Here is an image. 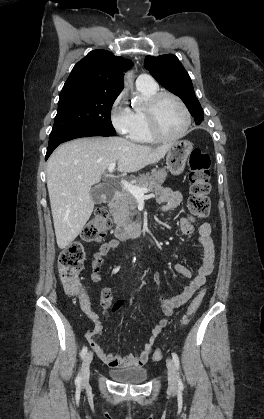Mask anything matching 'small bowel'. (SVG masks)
Segmentation results:
<instances>
[{"label":"small bowel","mask_w":264,"mask_h":419,"mask_svg":"<svg viewBox=\"0 0 264 419\" xmlns=\"http://www.w3.org/2000/svg\"><path fill=\"white\" fill-rule=\"evenodd\" d=\"M183 196L180 191L173 190L165 187L157 191L156 200L160 204V213H165L169 210L176 208L182 202ZM178 227L180 231L185 235H190L194 232V225L189 217H180L178 220ZM199 245L201 248L202 259L198 266L195 275H192L191 271L182 264H176L174 270L181 276L189 279L187 285L184 286L181 293L170 298H165L160 295L159 301L164 318L160 319L158 323L151 329L149 337L142 347L141 352L138 355L133 354H113L105 351L97 342V337L101 335L103 330L102 322L99 316L92 311L88 301L81 299V306L85 314L93 321L94 327L91 331L87 332L85 337L89 342L90 347L95 352L97 357L102 360L105 364L113 368H124V367H141L143 366L152 351L153 345L158 335L164 330L169 323V318L172 316L174 309L180 307L186 303L193 294L205 284L206 278L212 273L215 267L216 248L211 238V225L208 222L200 224L199 229ZM119 245L117 239H110L103 243L98 251L94 254L91 262V280L93 282H99L101 280V267L105 257ZM153 281L158 288L161 287L160 276L155 273L153 275ZM112 292L108 287H104L100 293V303L107 309L111 306ZM124 305L123 301H117L112 306V312L118 311ZM108 316V313H106Z\"/></svg>","instance_id":"small-bowel-1"}]
</instances>
